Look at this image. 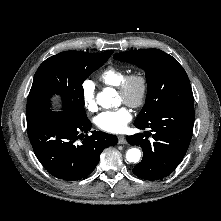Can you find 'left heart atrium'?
<instances>
[{"instance_id":"1","label":"left heart atrium","mask_w":221,"mask_h":221,"mask_svg":"<svg viewBox=\"0 0 221 221\" xmlns=\"http://www.w3.org/2000/svg\"><path fill=\"white\" fill-rule=\"evenodd\" d=\"M132 114L130 110L122 106L115 110L101 112L95 118L97 127L109 133H120L124 131L127 124L131 121Z\"/></svg>"}]
</instances>
